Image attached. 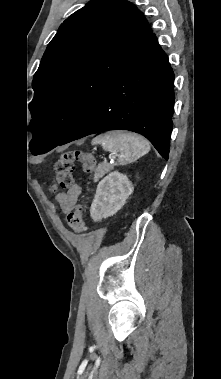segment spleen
Returning <instances> with one entry per match:
<instances>
[{
  "mask_svg": "<svg viewBox=\"0 0 221 379\" xmlns=\"http://www.w3.org/2000/svg\"><path fill=\"white\" fill-rule=\"evenodd\" d=\"M101 145L104 150L118 154V163L127 165L150 151L149 142L138 134L111 131L101 134L92 140V145Z\"/></svg>",
  "mask_w": 221,
  "mask_h": 379,
  "instance_id": "3e777b00",
  "label": "spleen"
}]
</instances>
